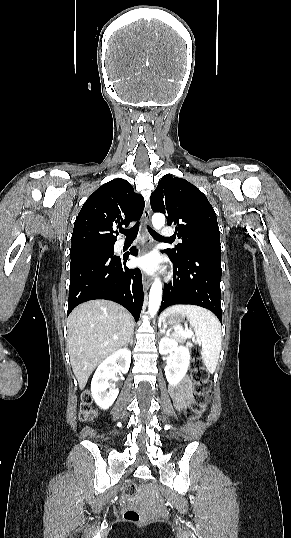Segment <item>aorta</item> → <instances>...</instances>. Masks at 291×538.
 Instances as JSON below:
<instances>
[{
    "label": "aorta",
    "instance_id": "obj_1",
    "mask_svg": "<svg viewBox=\"0 0 291 538\" xmlns=\"http://www.w3.org/2000/svg\"><path fill=\"white\" fill-rule=\"evenodd\" d=\"M152 224L154 228L156 229L162 228L165 224L164 215L160 213L154 214L152 217ZM161 299H162V283L159 278H156L151 286L150 294H149L148 312L150 316L153 317L159 310Z\"/></svg>",
    "mask_w": 291,
    "mask_h": 538
}]
</instances>
